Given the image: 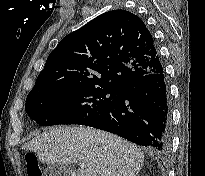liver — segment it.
I'll use <instances>...</instances> for the list:
<instances>
[{
	"label": "liver",
	"mask_w": 205,
	"mask_h": 176,
	"mask_svg": "<svg viewBox=\"0 0 205 176\" xmlns=\"http://www.w3.org/2000/svg\"><path fill=\"white\" fill-rule=\"evenodd\" d=\"M23 148L36 152L46 164L85 163L76 176H136L144 162V153L136 145L89 127H54Z\"/></svg>",
	"instance_id": "liver-1"
}]
</instances>
